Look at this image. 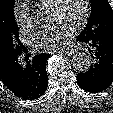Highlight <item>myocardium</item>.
<instances>
[{
  "label": "myocardium",
  "instance_id": "obj_1",
  "mask_svg": "<svg viewBox=\"0 0 113 113\" xmlns=\"http://www.w3.org/2000/svg\"><path fill=\"white\" fill-rule=\"evenodd\" d=\"M64 0H54L51 4V8L53 9H60ZM83 1V13L80 19L75 23L74 27L79 29L82 27L88 20L91 12V4L89 0H82Z\"/></svg>",
  "mask_w": 113,
  "mask_h": 113
}]
</instances>
